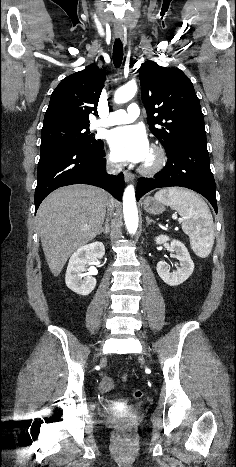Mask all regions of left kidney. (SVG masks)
<instances>
[{"mask_svg": "<svg viewBox=\"0 0 236 467\" xmlns=\"http://www.w3.org/2000/svg\"><path fill=\"white\" fill-rule=\"evenodd\" d=\"M170 241L166 235H160L155 238L156 244H164ZM170 251L175 253V258L179 260L180 267L173 272L167 267L166 262L160 261L157 264L156 270L160 278L170 286H177L186 281L194 270V263L185 245L178 240H171Z\"/></svg>", "mask_w": 236, "mask_h": 467, "instance_id": "left-kidney-1", "label": "left kidney"}]
</instances>
